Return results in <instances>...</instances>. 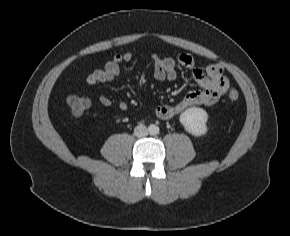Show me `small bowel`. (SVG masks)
I'll use <instances>...</instances> for the list:
<instances>
[{"label":"small bowel","instance_id":"1","mask_svg":"<svg viewBox=\"0 0 290 236\" xmlns=\"http://www.w3.org/2000/svg\"><path fill=\"white\" fill-rule=\"evenodd\" d=\"M134 58L132 52L117 53L103 68L92 71L86 78L89 86L108 82L120 73V65L123 62H131ZM154 66V76L159 81H174L177 78V65L192 70L194 81L200 87L186 94L176 105H161L155 109V114L160 119H169L180 114L192 106H212L227 91L229 80L224 75L223 69L218 64H210L205 70L196 67L195 58L189 53H181L177 58H161L157 55L151 57ZM103 106H111L112 100L106 95L99 98ZM119 108L125 110V102H119Z\"/></svg>","mask_w":290,"mask_h":236}]
</instances>
